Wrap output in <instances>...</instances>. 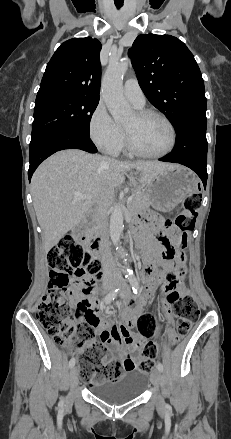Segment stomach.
I'll return each mask as SVG.
<instances>
[{
    "instance_id": "stomach-1",
    "label": "stomach",
    "mask_w": 231,
    "mask_h": 439,
    "mask_svg": "<svg viewBox=\"0 0 231 439\" xmlns=\"http://www.w3.org/2000/svg\"><path fill=\"white\" fill-rule=\"evenodd\" d=\"M197 189L196 175L186 167L177 166L158 174L148 183L146 193L155 209L168 212Z\"/></svg>"
}]
</instances>
